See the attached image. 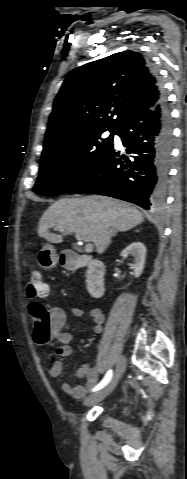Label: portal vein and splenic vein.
<instances>
[{
	"label": "portal vein and splenic vein",
	"mask_w": 187,
	"mask_h": 479,
	"mask_svg": "<svg viewBox=\"0 0 187 479\" xmlns=\"http://www.w3.org/2000/svg\"><path fill=\"white\" fill-rule=\"evenodd\" d=\"M76 238H77L78 240H82L79 236H76ZM92 250H93V244L87 243V244L85 245V251H86V252H91Z\"/></svg>",
	"instance_id": "portal-vein-and-splenic-vein-1"
}]
</instances>
